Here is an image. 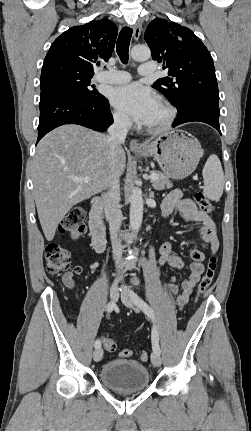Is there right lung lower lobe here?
<instances>
[{
    "mask_svg": "<svg viewBox=\"0 0 251 431\" xmlns=\"http://www.w3.org/2000/svg\"><path fill=\"white\" fill-rule=\"evenodd\" d=\"M113 123L109 102L103 96L84 97L62 88L41 92L37 142L52 129L78 124L103 132Z\"/></svg>",
    "mask_w": 251,
    "mask_h": 431,
    "instance_id": "1",
    "label": "right lung lower lobe"
}]
</instances>
